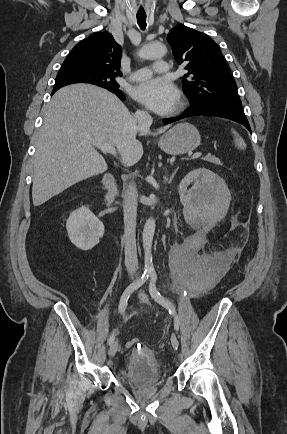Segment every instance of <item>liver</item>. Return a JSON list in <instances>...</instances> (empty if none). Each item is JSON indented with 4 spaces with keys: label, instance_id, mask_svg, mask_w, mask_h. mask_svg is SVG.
Instances as JSON below:
<instances>
[{
    "label": "liver",
    "instance_id": "6515ba94",
    "mask_svg": "<svg viewBox=\"0 0 287 434\" xmlns=\"http://www.w3.org/2000/svg\"><path fill=\"white\" fill-rule=\"evenodd\" d=\"M138 133L146 136L150 131L139 126L113 93L86 84L59 89L44 109L36 143L34 206L108 169L93 141L115 146L124 165L135 164L143 155Z\"/></svg>",
    "mask_w": 287,
    "mask_h": 434
}]
</instances>
